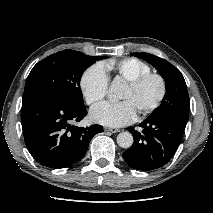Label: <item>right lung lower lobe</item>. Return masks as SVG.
<instances>
[{
    "instance_id": "98d812e1",
    "label": "right lung lower lobe",
    "mask_w": 213,
    "mask_h": 213,
    "mask_svg": "<svg viewBox=\"0 0 213 213\" xmlns=\"http://www.w3.org/2000/svg\"><path fill=\"white\" fill-rule=\"evenodd\" d=\"M87 114L54 94L39 88L24 91L21 110L22 129L27 149L33 158L49 168H65L86 153L91 138L103 131L101 125L72 126Z\"/></svg>"
}]
</instances>
